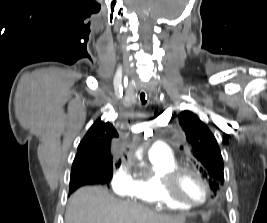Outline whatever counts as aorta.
Returning <instances> with one entry per match:
<instances>
[{"instance_id": "obj_1", "label": "aorta", "mask_w": 267, "mask_h": 223, "mask_svg": "<svg viewBox=\"0 0 267 223\" xmlns=\"http://www.w3.org/2000/svg\"><path fill=\"white\" fill-rule=\"evenodd\" d=\"M141 152H142V150L141 149H139L137 152H136V155H137V157L139 158V159H141Z\"/></svg>"}]
</instances>
